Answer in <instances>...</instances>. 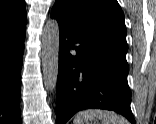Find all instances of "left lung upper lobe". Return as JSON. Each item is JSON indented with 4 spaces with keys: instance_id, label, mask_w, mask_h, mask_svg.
Wrapping results in <instances>:
<instances>
[{
    "instance_id": "left-lung-upper-lobe-1",
    "label": "left lung upper lobe",
    "mask_w": 156,
    "mask_h": 124,
    "mask_svg": "<svg viewBox=\"0 0 156 124\" xmlns=\"http://www.w3.org/2000/svg\"><path fill=\"white\" fill-rule=\"evenodd\" d=\"M52 11L71 26L128 50L124 14L116 0H56Z\"/></svg>"
}]
</instances>
